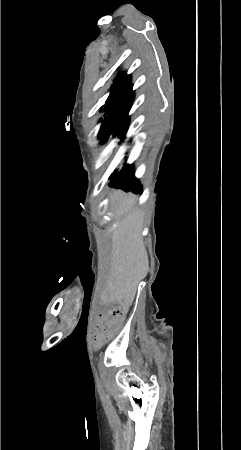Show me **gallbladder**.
Masks as SVG:
<instances>
[{"label": "gallbladder", "mask_w": 241, "mask_h": 450, "mask_svg": "<svg viewBox=\"0 0 241 450\" xmlns=\"http://www.w3.org/2000/svg\"><path fill=\"white\" fill-rule=\"evenodd\" d=\"M100 308H101V310H110V308H111L110 301H101Z\"/></svg>", "instance_id": "gallbladder-1"}]
</instances>
